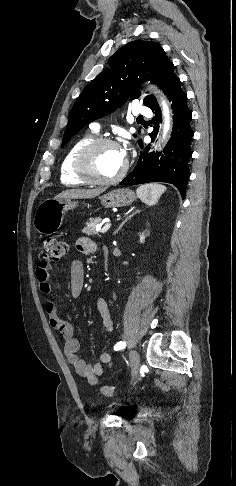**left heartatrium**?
Returning a JSON list of instances; mask_svg holds the SVG:
<instances>
[{
    "label": "left heart atrium",
    "instance_id": "left-heart-atrium-1",
    "mask_svg": "<svg viewBox=\"0 0 236 486\" xmlns=\"http://www.w3.org/2000/svg\"><path fill=\"white\" fill-rule=\"evenodd\" d=\"M122 152H123V155H124V157H125V154H126V153H125V151H124V150H122Z\"/></svg>",
    "mask_w": 236,
    "mask_h": 486
}]
</instances>
